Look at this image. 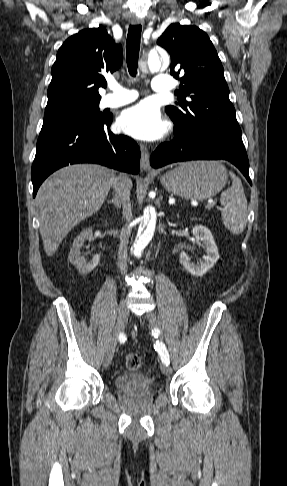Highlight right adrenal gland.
Segmentation results:
<instances>
[{"instance_id":"obj_1","label":"right adrenal gland","mask_w":287,"mask_h":486,"mask_svg":"<svg viewBox=\"0 0 287 486\" xmlns=\"http://www.w3.org/2000/svg\"><path fill=\"white\" fill-rule=\"evenodd\" d=\"M108 204H113L117 209H120L121 202L119 196L117 194H114L113 198L108 201Z\"/></svg>"}]
</instances>
